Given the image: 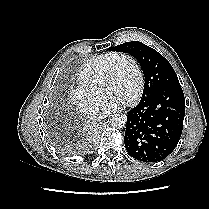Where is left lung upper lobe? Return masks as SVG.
<instances>
[{
  "label": "left lung upper lobe",
  "mask_w": 209,
  "mask_h": 209,
  "mask_svg": "<svg viewBox=\"0 0 209 209\" xmlns=\"http://www.w3.org/2000/svg\"><path fill=\"white\" fill-rule=\"evenodd\" d=\"M112 50L128 53L139 61L145 74L142 97L164 86L179 83L171 64L156 50L139 41L126 42L112 48Z\"/></svg>",
  "instance_id": "left-lung-upper-lobe-1"
}]
</instances>
